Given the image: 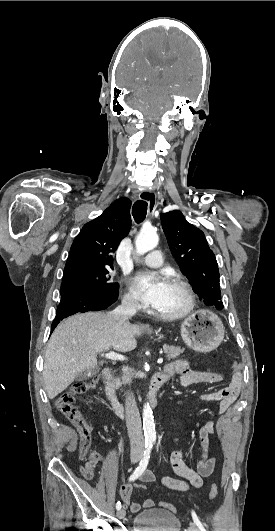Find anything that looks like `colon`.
Returning a JSON list of instances; mask_svg holds the SVG:
<instances>
[{
	"mask_svg": "<svg viewBox=\"0 0 275 531\" xmlns=\"http://www.w3.org/2000/svg\"><path fill=\"white\" fill-rule=\"evenodd\" d=\"M232 368L234 370H239L241 368V363L235 361L232 363ZM95 386V382H81L76 383L71 386L70 390L64 392L58 396L55 401V407L59 412H61L75 427L78 435L80 437V458L85 459L90 451L93 440L92 427L88 423L84 414L74 406L73 402L76 396L85 393ZM81 473L84 478L91 479L93 477V472L91 466L83 465L81 467ZM133 486V484H131ZM139 487L141 491L145 490V485L140 484ZM218 494V487L214 483L211 485L208 493L209 500H214ZM160 506L166 510L174 511V507L167 502H161Z\"/></svg>",
	"mask_w": 275,
	"mask_h": 531,
	"instance_id": "colon-1",
	"label": "colon"
}]
</instances>
